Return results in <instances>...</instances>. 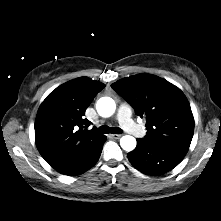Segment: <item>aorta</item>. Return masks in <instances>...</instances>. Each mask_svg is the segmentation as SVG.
I'll return each instance as SVG.
<instances>
[{"instance_id": "762f6f07", "label": "aorta", "mask_w": 221, "mask_h": 221, "mask_svg": "<svg viewBox=\"0 0 221 221\" xmlns=\"http://www.w3.org/2000/svg\"><path fill=\"white\" fill-rule=\"evenodd\" d=\"M96 109L100 116L110 117L115 112L116 104L110 97H101L96 103ZM120 145L123 150L130 152L136 147V139L130 135L122 136Z\"/></svg>"}]
</instances>
